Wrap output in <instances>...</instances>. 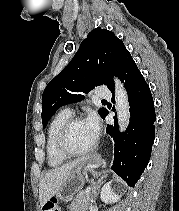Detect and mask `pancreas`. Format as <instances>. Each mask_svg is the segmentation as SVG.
Returning a JSON list of instances; mask_svg holds the SVG:
<instances>
[{
    "label": "pancreas",
    "instance_id": "cf45deb5",
    "mask_svg": "<svg viewBox=\"0 0 179 211\" xmlns=\"http://www.w3.org/2000/svg\"><path fill=\"white\" fill-rule=\"evenodd\" d=\"M94 192H79L69 206L70 211H87L89 205L93 202Z\"/></svg>",
    "mask_w": 179,
    "mask_h": 211
}]
</instances>
